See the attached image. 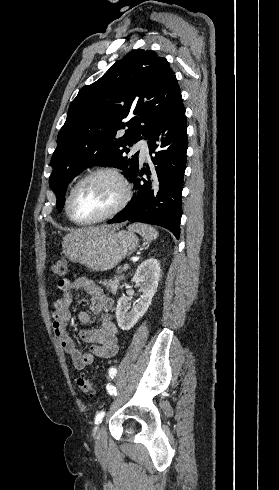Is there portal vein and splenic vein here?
<instances>
[{"instance_id": "1", "label": "portal vein and splenic vein", "mask_w": 279, "mask_h": 490, "mask_svg": "<svg viewBox=\"0 0 279 490\" xmlns=\"http://www.w3.org/2000/svg\"><path fill=\"white\" fill-rule=\"evenodd\" d=\"M123 270H128L127 264H125V266H123Z\"/></svg>"}]
</instances>
